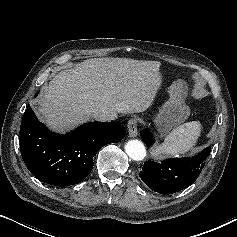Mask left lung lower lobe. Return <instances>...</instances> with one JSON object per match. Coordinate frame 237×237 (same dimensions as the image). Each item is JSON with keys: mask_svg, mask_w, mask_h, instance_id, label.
I'll return each mask as SVG.
<instances>
[{"mask_svg": "<svg viewBox=\"0 0 237 237\" xmlns=\"http://www.w3.org/2000/svg\"><path fill=\"white\" fill-rule=\"evenodd\" d=\"M140 135L147 145L154 143L153 136L148 130L143 129ZM210 151L211 147H207L193 158H170L161 163L146 161L139 176L155 192L164 195L178 192L198 178Z\"/></svg>", "mask_w": 237, "mask_h": 237, "instance_id": "left-lung-lower-lobe-1", "label": "left lung lower lobe"}]
</instances>
